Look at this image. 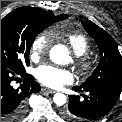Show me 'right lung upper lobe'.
I'll return each instance as SVG.
<instances>
[{"instance_id":"obj_1","label":"right lung upper lobe","mask_w":122,"mask_h":122,"mask_svg":"<svg viewBox=\"0 0 122 122\" xmlns=\"http://www.w3.org/2000/svg\"><path fill=\"white\" fill-rule=\"evenodd\" d=\"M13 12L20 13L31 20L53 21L54 23L68 17V15L54 16L52 11H45L44 9L35 7H20Z\"/></svg>"}]
</instances>
